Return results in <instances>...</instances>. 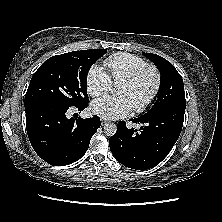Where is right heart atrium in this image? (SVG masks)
Segmentation results:
<instances>
[{
    "mask_svg": "<svg viewBox=\"0 0 222 222\" xmlns=\"http://www.w3.org/2000/svg\"><path fill=\"white\" fill-rule=\"evenodd\" d=\"M112 81L100 66H92L86 76V89L90 96L97 97L110 90Z\"/></svg>",
    "mask_w": 222,
    "mask_h": 222,
    "instance_id": "obj_1",
    "label": "right heart atrium"
}]
</instances>
